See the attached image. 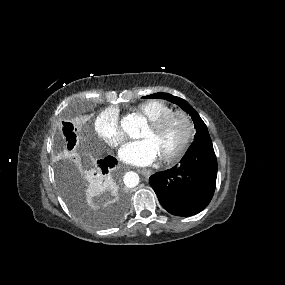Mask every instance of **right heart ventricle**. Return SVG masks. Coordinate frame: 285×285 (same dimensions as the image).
Returning a JSON list of instances; mask_svg holds the SVG:
<instances>
[{"mask_svg": "<svg viewBox=\"0 0 285 285\" xmlns=\"http://www.w3.org/2000/svg\"><path fill=\"white\" fill-rule=\"evenodd\" d=\"M172 110L171 106L160 100H147L137 106V112L149 121L156 119Z\"/></svg>", "mask_w": 285, "mask_h": 285, "instance_id": "e07e8e85", "label": "right heart ventricle"}]
</instances>
